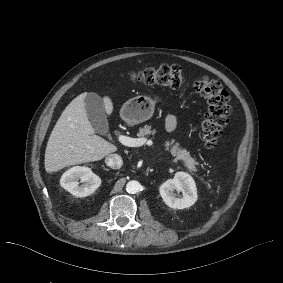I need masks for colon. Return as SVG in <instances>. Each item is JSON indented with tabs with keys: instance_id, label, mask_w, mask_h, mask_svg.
Returning a JSON list of instances; mask_svg holds the SVG:
<instances>
[{
	"instance_id": "colon-1",
	"label": "colon",
	"mask_w": 283,
	"mask_h": 283,
	"mask_svg": "<svg viewBox=\"0 0 283 283\" xmlns=\"http://www.w3.org/2000/svg\"><path fill=\"white\" fill-rule=\"evenodd\" d=\"M129 76L133 82L145 85L179 88L185 84V78L178 65L161 64L132 72ZM192 86L207 104L200 125V138L207 148H214L221 138L222 129L231 111L230 95L220 82L208 76L195 80Z\"/></svg>"
}]
</instances>
